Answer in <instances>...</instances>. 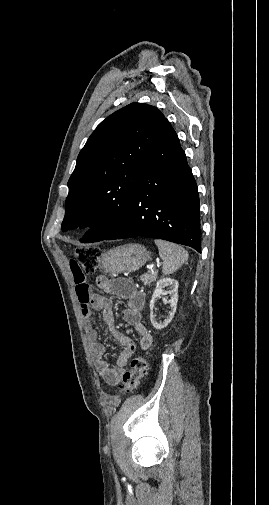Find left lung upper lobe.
Segmentation results:
<instances>
[{
	"label": "left lung upper lobe",
	"instance_id": "5c2ea615",
	"mask_svg": "<svg viewBox=\"0 0 269 505\" xmlns=\"http://www.w3.org/2000/svg\"><path fill=\"white\" fill-rule=\"evenodd\" d=\"M164 119L154 106L131 103L97 126L68 181L63 231L90 226L82 242H96L117 228Z\"/></svg>",
	"mask_w": 269,
	"mask_h": 505
}]
</instances>
